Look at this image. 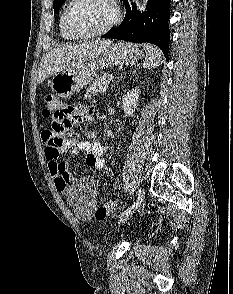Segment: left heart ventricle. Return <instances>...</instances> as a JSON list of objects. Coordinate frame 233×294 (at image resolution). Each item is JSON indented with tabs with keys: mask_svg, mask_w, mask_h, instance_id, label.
<instances>
[{
	"mask_svg": "<svg viewBox=\"0 0 233 294\" xmlns=\"http://www.w3.org/2000/svg\"><path fill=\"white\" fill-rule=\"evenodd\" d=\"M112 18V9L104 0H79L69 13L71 28L80 34L102 29Z\"/></svg>",
	"mask_w": 233,
	"mask_h": 294,
	"instance_id": "b2bd125f",
	"label": "left heart ventricle"
}]
</instances>
